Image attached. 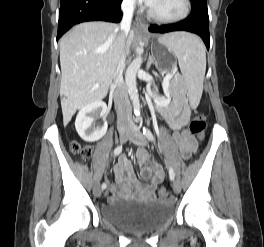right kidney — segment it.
Masks as SVG:
<instances>
[{
  "label": "right kidney",
  "mask_w": 264,
  "mask_h": 247,
  "mask_svg": "<svg viewBox=\"0 0 264 247\" xmlns=\"http://www.w3.org/2000/svg\"><path fill=\"white\" fill-rule=\"evenodd\" d=\"M107 106L101 101H95L81 108L77 114L75 128L79 136L86 142H95L101 139L107 132L108 124L95 126L97 118L106 114Z\"/></svg>",
  "instance_id": "right-kidney-1"
}]
</instances>
